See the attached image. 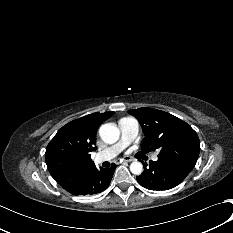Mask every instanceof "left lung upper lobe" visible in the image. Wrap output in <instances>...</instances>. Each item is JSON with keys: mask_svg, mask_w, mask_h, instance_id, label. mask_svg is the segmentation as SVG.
Masks as SVG:
<instances>
[{"mask_svg": "<svg viewBox=\"0 0 233 233\" xmlns=\"http://www.w3.org/2000/svg\"><path fill=\"white\" fill-rule=\"evenodd\" d=\"M145 134L142 149H160L158 159L169 161L190 172L198 159L197 133L183 120L161 110L142 107L129 110Z\"/></svg>", "mask_w": 233, "mask_h": 233, "instance_id": "1", "label": "left lung upper lobe"}]
</instances>
